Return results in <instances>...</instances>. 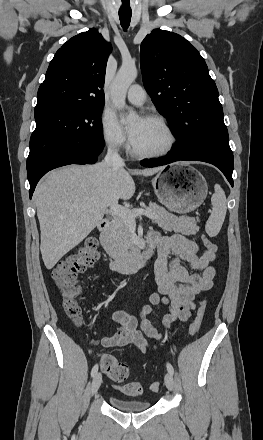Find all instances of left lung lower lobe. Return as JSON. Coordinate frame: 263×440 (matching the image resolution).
<instances>
[{
  "mask_svg": "<svg viewBox=\"0 0 263 440\" xmlns=\"http://www.w3.org/2000/svg\"><path fill=\"white\" fill-rule=\"evenodd\" d=\"M181 160L203 161L213 164L223 172L229 183L233 186L232 173L234 160L229 142L212 145L193 155H183L173 147L172 151L167 156L158 159L143 160L141 161V165L145 167H156Z\"/></svg>",
  "mask_w": 263,
  "mask_h": 440,
  "instance_id": "0a47b994",
  "label": "left lung lower lobe"
}]
</instances>
